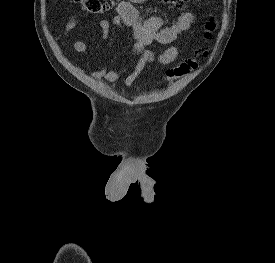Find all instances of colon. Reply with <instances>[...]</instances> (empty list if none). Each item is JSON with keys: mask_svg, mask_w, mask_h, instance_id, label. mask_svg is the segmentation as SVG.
I'll use <instances>...</instances> for the list:
<instances>
[{"mask_svg": "<svg viewBox=\"0 0 275 263\" xmlns=\"http://www.w3.org/2000/svg\"><path fill=\"white\" fill-rule=\"evenodd\" d=\"M76 3L81 4L83 9L92 14H103L108 12L117 0H73ZM167 2L173 10L180 11L185 8L188 0H164ZM206 37H209L216 29V23L214 20H209L206 25ZM206 50H202V54L207 55ZM198 66V58L191 57L183 60L178 65L170 68L166 72V76L169 79H177L188 75L195 70Z\"/></svg>", "mask_w": 275, "mask_h": 263, "instance_id": "1", "label": "colon"}]
</instances>
